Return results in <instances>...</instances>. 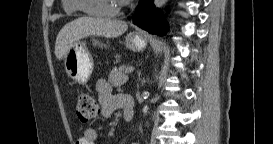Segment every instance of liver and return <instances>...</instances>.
<instances>
[{
    "label": "liver",
    "instance_id": "1",
    "mask_svg": "<svg viewBox=\"0 0 273 144\" xmlns=\"http://www.w3.org/2000/svg\"><path fill=\"white\" fill-rule=\"evenodd\" d=\"M128 28L124 21L94 17H81L67 23L58 33L55 43L57 59L65 58L70 47L80 39L90 36L118 37Z\"/></svg>",
    "mask_w": 273,
    "mask_h": 144
}]
</instances>
